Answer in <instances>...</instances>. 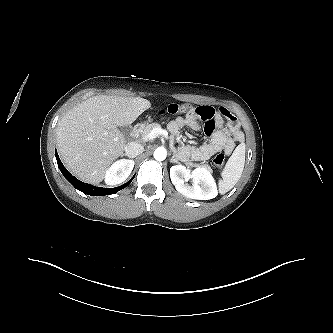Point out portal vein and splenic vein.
<instances>
[{"mask_svg":"<svg viewBox=\"0 0 333 333\" xmlns=\"http://www.w3.org/2000/svg\"><path fill=\"white\" fill-rule=\"evenodd\" d=\"M159 135H167V132L163 129H161L160 127L158 128H154L146 137V139L151 140L156 138Z\"/></svg>","mask_w":333,"mask_h":333,"instance_id":"1","label":"portal vein and splenic vein"}]
</instances>
